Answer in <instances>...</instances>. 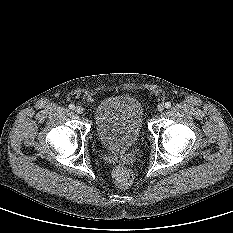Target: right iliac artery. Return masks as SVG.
Instances as JSON below:
<instances>
[{
  "mask_svg": "<svg viewBox=\"0 0 233 233\" xmlns=\"http://www.w3.org/2000/svg\"><path fill=\"white\" fill-rule=\"evenodd\" d=\"M69 109H70V110H74V109H75V105H74V104H70V105H69Z\"/></svg>",
  "mask_w": 233,
  "mask_h": 233,
  "instance_id": "right-iliac-artery-1",
  "label": "right iliac artery"
}]
</instances>
